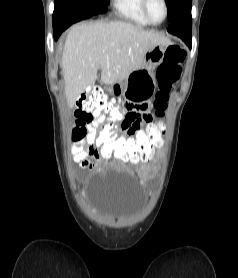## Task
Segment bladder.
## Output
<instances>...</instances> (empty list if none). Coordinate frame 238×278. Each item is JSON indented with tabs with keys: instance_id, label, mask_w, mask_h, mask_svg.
Returning a JSON list of instances; mask_svg holds the SVG:
<instances>
[{
	"instance_id": "31cf9c89",
	"label": "bladder",
	"mask_w": 238,
	"mask_h": 278,
	"mask_svg": "<svg viewBox=\"0 0 238 278\" xmlns=\"http://www.w3.org/2000/svg\"><path fill=\"white\" fill-rule=\"evenodd\" d=\"M120 176L124 177L125 173L121 172ZM92 179L117 180L118 176L116 171L108 169L104 175H93ZM125 179L138 180V175H126ZM87 185L86 199H94L93 206L97 214L105 220L132 218L145 205L140 181H88Z\"/></svg>"
}]
</instances>
